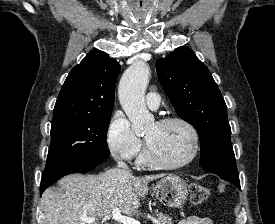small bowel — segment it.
<instances>
[{"instance_id": "c3829d8e", "label": "small bowel", "mask_w": 275, "mask_h": 224, "mask_svg": "<svg viewBox=\"0 0 275 224\" xmlns=\"http://www.w3.org/2000/svg\"><path fill=\"white\" fill-rule=\"evenodd\" d=\"M178 224H213L208 217L190 216L181 219Z\"/></svg>"}]
</instances>
